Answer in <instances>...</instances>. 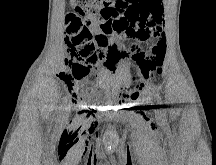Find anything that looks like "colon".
<instances>
[{
  "mask_svg": "<svg viewBox=\"0 0 216 165\" xmlns=\"http://www.w3.org/2000/svg\"><path fill=\"white\" fill-rule=\"evenodd\" d=\"M73 11L65 17L67 62L79 63L101 71L107 65L109 39L92 28L90 15L101 8L115 10L117 5H131L136 0H72ZM101 13V12H100ZM148 41L145 48L137 49L133 57L139 62L141 74L147 75L162 65L166 52L161 26H149L141 34Z\"/></svg>",
  "mask_w": 216,
  "mask_h": 165,
  "instance_id": "5ec220e1",
  "label": "colon"
}]
</instances>
